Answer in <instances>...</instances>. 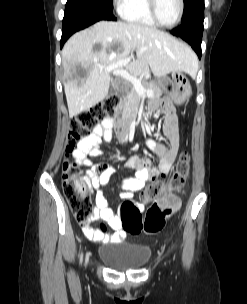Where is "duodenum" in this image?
<instances>
[{"mask_svg":"<svg viewBox=\"0 0 247 304\" xmlns=\"http://www.w3.org/2000/svg\"><path fill=\"white\" fill-rule=\"evenodd\" d=\"M124 111V106L123 104H120L117 108V115H115V126H114V132H115V136H117V141H122L120 143H123L124 141H126V136H128V127L130 126V124H132V116H127V119H122V114ZM119 143V142H118Z\"/></svg>","mask_w":247,"mask_h":304,"instance_id":"duodenum-1","label":"duodenum"}]
</instances>
